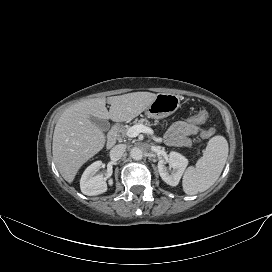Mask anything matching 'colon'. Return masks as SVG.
I'll return each mask as SVG.
<instances>
[{"mask_svg":"<svg viewBox=\"0 0 272 272\" xmlns=\"http://www.w3.org/2000/svg\"><path fill=\"white\" fill-rule=\"evenodd\" d=\"M208 118V113L206 111H199L195 115H193L190 118L191 123L193 124H202L204 123ZM214 134L213 129H204L201 133L203 138H209Z\"/></svg>","mask_w":272,"mask_h":272,"instance_id":"colon-1","label":"colon"}]
</instances>
